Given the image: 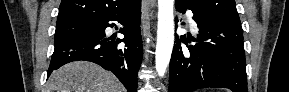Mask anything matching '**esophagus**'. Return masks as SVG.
I'll use <instances>...</instances> for the list:
<instances>
[{
	"instance_id": "1",
	"label": "esophagus",
	"mask_w": 289,
	"mask_h": 92,
	"mask_svg": "<svg viewBox=\"0 0 289 92\" xmlns=\"http://www.w3.org/2000/svg\"><path fill=\"white\" fill-rule=\"evenodd\" d=\"M147 5L149 7V10H152L154 5H155V1L154 0H148L147 1ZM150 15L152 16V12L150 13ZM147 30V26H143V32L145 33Z\"/></svg>"
}]
</instances>
